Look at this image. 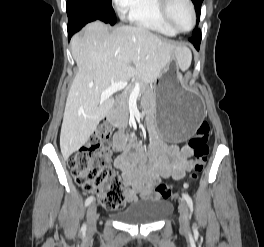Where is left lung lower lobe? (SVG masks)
Segmentation results:
<instances>
[{
	"mask_svg": "<svg viewBox=\"0 0 264 247\" xmlns=\"http://www.w3.org/2000/svg\"><path fill=\"white\" fill-rule=\"evenodd\" d=\"M189 40L194 44L195 48L199 50L201 35L192 36Z\"/></svg>",
	"mask_w": 264,
	"mask_h": 247,
	"instance_id": "obj_1",
	"label": "left lung lower lobe"
}]
</instances>
